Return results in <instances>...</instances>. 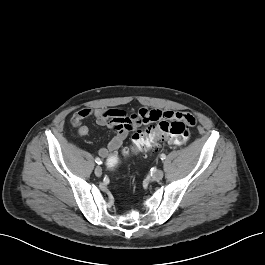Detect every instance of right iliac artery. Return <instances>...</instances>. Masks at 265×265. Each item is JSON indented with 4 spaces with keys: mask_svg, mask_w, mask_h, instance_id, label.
Listing matches in <instances>:
<instances>
[{
    "mask_svg": "<svg viewBox=\"0 0 265 265\" xmlns=\"http://www.w3.org/2000/svg\"><path fill=\"white\" fill-rule=\"evenodd\" d=\"M95 162H96L97 164H101V163H102L101 159L98 158V157L95 159Z\"/></svg>",
    "mask_w": 265,
    "mask_h": 265,
    "instance_id": "right-iliac-artery-1",
    "label": "right iliac artery"
}]
</instances>
